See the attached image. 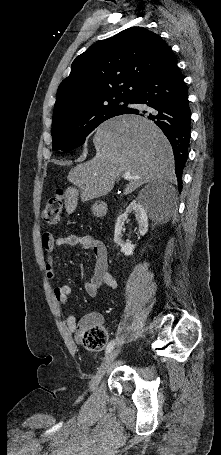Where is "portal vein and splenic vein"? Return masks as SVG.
Here are the masks:
<instances>
[{
	"label": "portal vein and splenic vein",
	"instance_id": "obj_1",
	"mask_svg": "<svg viewBox=\"0 0 221 455\" xmlns=\"http://www.w3.org/2000/svg\"><path fill=\"white\" fill-rule=\"evenodd\" d=\"M123 177H124L125 180H131V179H133V177L130 175L129 172H125V173L123 174Z\"/></svg>",
	"mask_w": 221,
	"mask_h": 455
}]
</instances>
